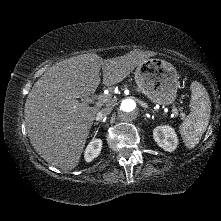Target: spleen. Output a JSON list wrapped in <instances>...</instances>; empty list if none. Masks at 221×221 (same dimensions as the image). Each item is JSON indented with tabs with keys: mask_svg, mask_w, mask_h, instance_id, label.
Masks as SVG:
<instances>
[{
	"mask_svg": "<svg viewBox=\"0 0 221 221\" xmlns=\"http://www.w3.org/2000/svg\"><path fill=\"white\" fill-rule=\"evenodd\" d=\"M191 112L179 126L185 146L194 148L207 129L210 120L211 103L205 87L197 82L191 83Z\"/></svg>",
	"mask_w": 221,
	"mask_h": 221,
	"instance_id": "3e777b00",
	"label": "spleen"
}]
</instances>
